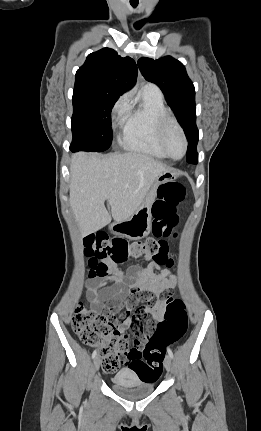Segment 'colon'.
Masks as SVG:
<instances>
[{"instance_id":"5ec220e1","label":"colon","mask_w":261,"mask_h":431,"mask_svg":"<svg viewBox=\"0 0 261 431\" xmlns=\"http://www.w3.org/2000/svg\"><path fill=\"white\" fill-rule=\"evenodd\" d=\"M185 199L184 187L176 182H165L158 188L157 199L152 206L153 238L130 242L122 237L109 238L106 234H91L84 239L85 255L90 273L105 275L108 260L122 265L129 260L151 258L161 265H172L168 244L163 238L172 235L178 222L177 211ZM160 303L165 304L164 318L157 322L155 334L149 337L144 349L129 348L128 337L118 329L121 318L110 319L79 304L72 317V328L87 345L98 346L102 366L106 372H114L125 355L126 369H132L140 383L155 385L162 380L163 357L166 345L177 343L186 333L188 316L182 300L173 297L171 291L161 293ZM157 302V303H159Z\"/></svg>"}]
</instances>
